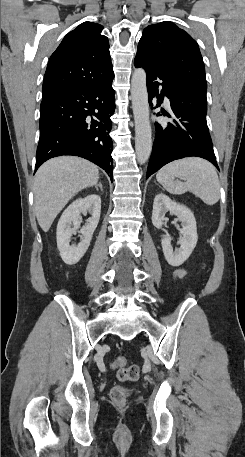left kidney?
Here are the masks:
<instances>
[{
	"mask_svg": "<svg viewBox=\"0 0 245 457\" xmlns=\"http://www.w3.org/2000/svg\"><path fill=\"white\" fill-rule=\"evenodd\" d=\"M168 210L170 214H176L177 218H175V220H181L183 226V229H179L180 233H182V237L177 243V245H180V249H175V251H173L171 237H169V235L162 239L161 245L168 265H171V267H180V265H183L184 261H187L197 245L198 235L196 220L193 212H191L188 206L178 204V202L171 200L167 194L159 192L154 198L152 210V222L154 226H156V229H162V224H164L166 220H169V218L165 216Z\"/></svg>",
	"mask_w": 245,
	"mask_h": 457,
	"instance_id": "1",
	"label": "left kidney"
}]
</instances>
